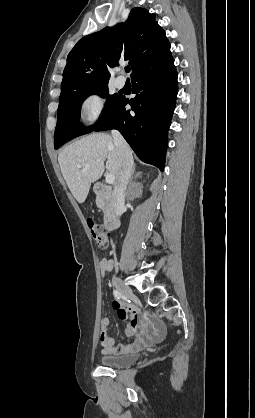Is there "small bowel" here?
<instances>
[{"label": "small bowel", "mask_w": 255, "mask_h": 418, "mask_svg": "<svg viewBox=\"0 0 255 418\" xmlns=\"http://www.w3.org/2000/svg\"><path fill=\"white\" fill-rule=\"evenodd\" d=\"M99 269L102 274L109 272L112 269V263L109 259H102L99 262ZM113 308L117 311L118 317L121 320H128L126 333L128 336H133L137 333L138 328L148 320L147 316L142 315L139 310L131 305L124 304L118 299L113 301ZM101 332L99 337V344L102 353L105 355H120L130 353L132 351L141 349L147 344L162 339L165 335V328L160 323H151L144 326L140 334L134 342L126 345L115 346L114 338L108 335L109 320L107 317L101 319Z\"/></svg>", "instance_id": "1"}]
</instances>
